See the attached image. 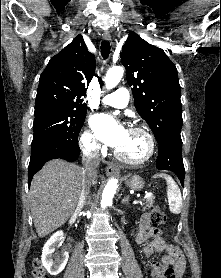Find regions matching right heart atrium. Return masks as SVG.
Instances as JSON below:
<instances>
[{
	"mask_svg": "<svg viewBox=\"0 0 221 278\" xmlns=\"http://www.w3.org/2000/svg\"><path fill=\"white\" fill-rule=\"evenodd\" d=\"M79 143L82 151L88 155H96L101 149L96 136L90 130H86L80 136Z\"/></svg>",
	"mask_w": 221,
	"mask_h": 278,
	"instance_id": "right-heart-atrium-1",
	"label": "right heart atrium"
}]
</instances>
